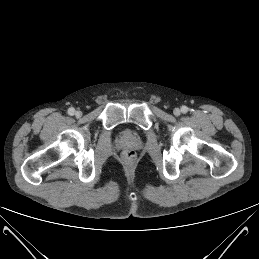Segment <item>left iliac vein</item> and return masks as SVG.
<instances>
[{
  "label": "left iliac vein",
  "instance_id": "1",
  "mask_svg": "<svg viewBox=\"0 0 259 259\" xmlns=\"http://www.w3.org/2000/svg\"><path fill=\"white\" fill-rule=\"evenodd\" d=\"M173 113H174L175 116H179V115L181 114V111H180L179 108H175V109L173 110Z\"/></svg>",
  "mask_w": 259,
  "mask_h": 259
}]
</instances>
